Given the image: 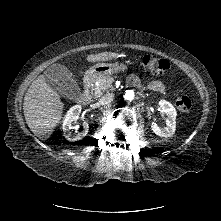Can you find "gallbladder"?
<instances>
[{"mask_svg": "<svg viewBox=\"0 0 221 221\" xmlns=\"http://www.w3.org/2000/svg\"><path fill=\"white\" fill-rule=\"evenodd\" d=\"M47 84L61 96L68 99L75 97L77 84L72 73L63 65L54 64L45 72Z\"/></svg>", "mask_w": 221, "mask_h": 221, "instance_id": "1", "label": "gallbladder"}]
</instances>
